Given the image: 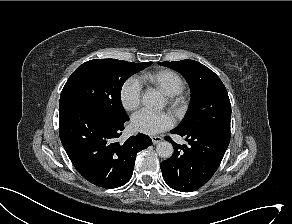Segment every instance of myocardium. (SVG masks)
Returning a JSON list of instances; mask_svg holds the SVG:
<instances>
[{
	"label": "myocardium",
	"instance_id": "f54148a6",
	"mask_svg": "<svg viewBox=\"0 0 292 224\" xmlns=\"http://www.w3.org/2000/svg\"><path fill=\"white\" fill-rule=\"evenodd\" d=\"M172 107L179 113L183 112L187 107V101L179 95L170 96Z\"/></svg>",
	"mask_w": 292,
	"mask_h": 224
}]
</instances>
